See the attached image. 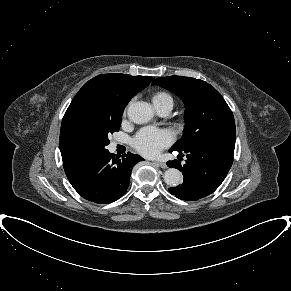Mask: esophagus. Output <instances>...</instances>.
I'll return each mask as SVG.
<instances>
[{
    "label": "esophagus",
    "instance_id": "obj_1",
    "mask_svg": "<svg viewBox=\"0 0 291 291\" xmlns=\"http://www.w3.org/2000/svg\"><path fill=\"white\" fill-rule=\"evenodd\" d=\"M154 164L163 168V169L167 168V165L164 162L154 161Z\"/></svg>",
    "mask_w": 291,
    "mask_h": 291
}]
</instances>
